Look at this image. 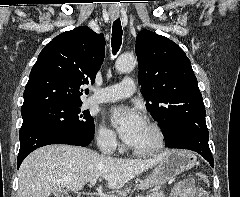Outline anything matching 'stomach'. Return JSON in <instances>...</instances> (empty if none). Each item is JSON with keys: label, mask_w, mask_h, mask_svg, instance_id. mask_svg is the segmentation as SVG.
Returning a JSON list of instances; mask_svg holds the SVG:
<instances>
[{"label": "stomach", "mask_w": 240, "mask_h": 197, "mask_svg": "<svg viewBox=\"0 0 240 197\" xmlns=\"http://www.w3.org/2000/svg\"><path fill=\"white\" fill-rule=\"evenodd\" d=\"M196 160V156L190 151L172 150L165 155L146 179L140 181L137 187L146 190L164 184L182 172L193 168Z\"/></svg>", "instance_id": "0dacf381"}]
</instances>
